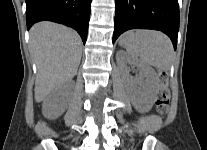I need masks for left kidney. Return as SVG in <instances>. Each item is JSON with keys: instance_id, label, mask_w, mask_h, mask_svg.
<instances>
[{"instance_id": "obj_1", "label": "left kidney", "mask_w": 207, "mask_h": 150, "mask_svg": "<svg viewBox=\"0 0 207 150\" xmlns=\"http://www.w3.org/2000/svg\"><path fill=\"white\" fill-rule=\"evenodd\" d=\"M117 61L121 68L122 79L127 94L134 108L141 113L148 112L152 108L156 98L158 84L156 72L147 64L128 55L124 51H119L117 53ZM127 64L138 68L139 77L137 79H134L129 75ZM143 79H145V81H143ZM136 83L142 87L141 92H138L135 89Z\"/></svg>"}]
</instances>
